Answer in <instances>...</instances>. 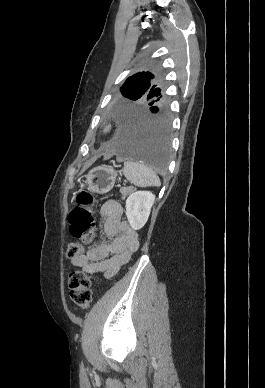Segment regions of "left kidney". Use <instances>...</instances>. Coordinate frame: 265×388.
<instances>
[{
    "label": "left kidney",
    "instance_id": "5707ae66",
    "mask_svg": "<svg viewBox=\"0 0 265 388\" xmlns=\"http://www.w3.org/2000/svg\"><path fill=\"white\" fill-rule=\"evenodd\" d=\"M155 196L151 192H134L126 200V216L133 230H141L145 226Z\"/></svg>",
    "mask_w": 265,
    "mask_h": 388
}]
</instances>
